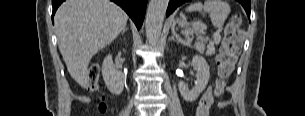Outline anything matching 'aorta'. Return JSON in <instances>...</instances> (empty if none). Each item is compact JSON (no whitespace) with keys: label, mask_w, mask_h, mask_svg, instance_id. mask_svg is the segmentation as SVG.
Masks as SVG:
<instances>
[{"label":"aorta","mask_w":305,"mask_h":116,"mask_svg":"<svg viewBox=\"0 0 305 116\" xmlns=\"http://www.w3.org/2000/svg\"><path fill=\"white\" fill-rule=\"evenodd\" d=\"M168 2V0H150L149 2L145 30L148 42L152 45L158 43L160 39Z\"/></svg>","instance_id":"obj_1"}]
</instances>
